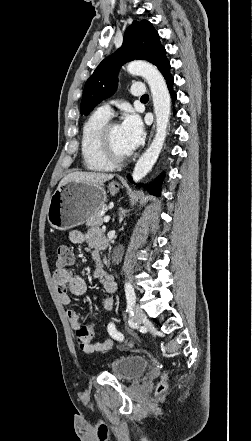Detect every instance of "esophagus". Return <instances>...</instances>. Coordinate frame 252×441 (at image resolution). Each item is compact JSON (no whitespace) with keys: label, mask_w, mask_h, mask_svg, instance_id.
I'll return each mask as SVG.
<instances>
[{"label":"esophagus","mask_w":252,"mask_h":441,"mask_svg":"<svg viewBox=\"0 0 252 441\" xmlns=\"http://www.w3.org/2000/svg\"><path fill=\"white\" fill-rule=\"evenodd\" d=\"M154 129H155V122L152 125L151 131H150V135H149L148 143L151 141V138H152L153 133H154Z\"/></svg>","instance_id":"1"}]
</instances>
